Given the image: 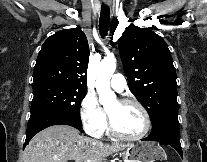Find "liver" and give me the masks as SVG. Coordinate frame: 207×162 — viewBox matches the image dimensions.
Returning a JSON list of instances; mask_svg holds the SVG:
<instances>
[{"label":"liver","instance_id":"6515ba94","mask_svg":"<svg viewBox=\"0 0 207 162\" xmlns=\"http://www.w3.org/2000/svg\"><path fill=\"white\" fill-rule=\"evenodd\" d=\"M128 144H106L83 137L69 125H53L37 133L26 146L23 162H102Z\"/></svg>","mask_w":207,"mask_h":162}]
</instances>
